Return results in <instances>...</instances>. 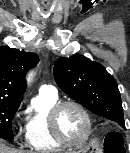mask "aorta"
Listing matches in <instances>:
<instances>
[{
  "label": "aorta",
  "instance_id": "obj_1",
  "mask_svg": "<svg viewBox=\"0 0 130 153\" xmlns=\"http://www.w3.org/2000/svg\"><path fill=\"white\" fill-rule=\"evenodd\" d=\"M33 76H34V72L33 71L28 74V77H27L28 83H30L32 81Z\"/></svg>",
  "mask_w": 130,
  "mask_h": 153
}]
</instances>
